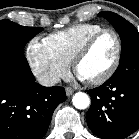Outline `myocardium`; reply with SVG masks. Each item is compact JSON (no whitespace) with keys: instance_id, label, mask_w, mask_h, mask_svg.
<instances>
[{"instance_id":"f54148a6","label":"myocardium","mask_w":139,"mask_h":139,"mask_svg":"<svg viewBox=\"0 0 139 139\" xmlns=\"http://www.w3.org/2000/svg\"><path fill=\"white\" fill-rule=\"evenodd\" d=\"M110 33L113 35L116 43V51L112 63L108 69L99 77L91 80H87L92 85H100L109 80L113 74L116 72L119 67L121 57H122V41L119 34L112 28H102L97 32L93 33L86 41L80 46V48L75 53L72 59V66L74 71L77 73V67L82 58L90 51L94 43L100 38L103 34Z\"/></svg>"}]
</instances>
